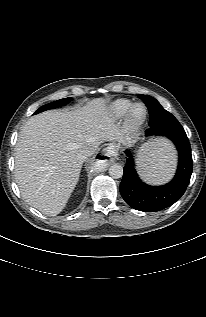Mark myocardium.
<instances>
[{"label": "myocardium", "instance_id": "obj_1", "mask_svg": "<svg viewBox=\"0 0 206 317\" xmlns=\"http://www.w3.org/2000/svg\"><path fill=\"white\" fill-rule=\"evenodd\" d=\"M146 117V107L143 104H135L129 111L127 123L130 128L135 129L144 123Z\"/></svg>", "mask_w": 206, "mask_h": 317}]
</instances>
